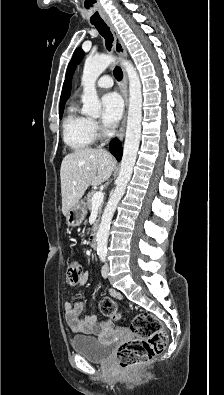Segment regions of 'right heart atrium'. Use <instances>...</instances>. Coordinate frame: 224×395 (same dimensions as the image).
<instances>
[{
	"mask_svg": "<svg viewBox=\"0 0 224 395\" xmlns=\"http://www.w3.org/2000/svg\"><path fill=\"white\" fill-rule=\"evenodd\" d=\"M92 127H93L94 131H99L100 130L99 125H98V123L96 121H92Z\"/></svg>",
	"mask_w": 224,
	"mask_h": 395,
	"instance_id": "1",
	"label": "right heart atrium"
}]
</instances>
